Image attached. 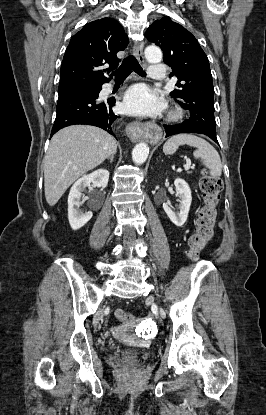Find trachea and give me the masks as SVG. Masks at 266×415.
Returning a JSON list of instances; mask_svg holds the SVG:
<instances>
[{"mask_svg": "<svg viewBox=\"0 0 266 415\" xmlns=\"http://www.w3.org/2000/svg\"><path fill=\"white\" fill-rule=\"evenodd\" d=\"M132 70L140 76H145V72L138 63L137 59L133 55H130L127 59H125L122 62L121 66L114 72L115 80H125Z\"/></svg>", "mask_w": 266, "mask_h": 415, "instance_id": "obj_1", "label": "trachea"}]
</instances>
